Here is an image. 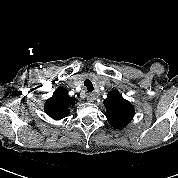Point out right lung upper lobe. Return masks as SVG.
Instances as JSON below:
<instances>
[{
    "mask_svg": "<svg viewBox=\"0 0 178 178\" xmlns=\"http://www.w3.org/2000/svg\"><path fill=\"white\" fill-rule=\"evenodd\" d=\"M75 101L65 88L58 87L53 96L46 101L45 112L54 120H61L69 114V108L73 107Z\"/></svg>",
    "mask_w": 178,
    "mask_h": 178,
    "instance_id": "1",
    "label": "right lung upper lobe"
}]
</instances>
